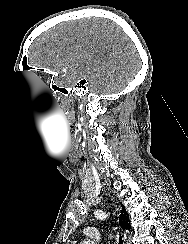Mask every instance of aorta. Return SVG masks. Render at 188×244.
<instances>
[{
  "label": "aorta",
  "mask_w": 188,
  "mask_h": 244,
  "mask_svg": "<svg viewBox=\"0 0 188 244\" xmlns=\"http://www.w3.org/2000/svg\"><path fill=\"white\" fill-rule=\"evenodd\" d=\"M81 244H90L89 241H84Z\"/></svg>",
  "instance_id": "762f6f07"
}]
</instances>
